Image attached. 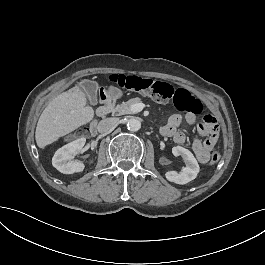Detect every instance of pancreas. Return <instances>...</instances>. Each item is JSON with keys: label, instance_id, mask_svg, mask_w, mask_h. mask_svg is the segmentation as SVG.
Segmentation results:
<instances>
[{"label": "pancreas", "instance_id": "1", "mask_svg": "<svg viewBox=\"0 0 265 265\" xmlns=\"http://www.w3.org/2000/svg\"><path fill=\"white\" fill-rule=\"evenodd\" d=\"M142 103L141 97L131 98L126 102H122L118 104L115 108H110L113 114L123 115V114H130L132 113L130 110L131 105Z\"/></svg>", "mask_w": 265, "mask_h": 265}]
</instances>
